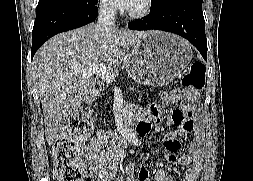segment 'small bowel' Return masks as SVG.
I'll return each instance as SVG.
<instances>
[{
    "mask_svg": "<svg viewBox=\"0 0 253 181\" xmlns=\"http://www.w3.org/2000/svg\"><path fill=\"white\" fill-rule=\"evenodd\" d=\"M197 95L188 91L174 89L161 94V101L164 104H178L179 109L173 111L168 118V124H176L182 127L180 134H168L163 140V157L171 163L177 162L181 166L188 167L185 171L184 181H198L203 163V145L202 139L197 134L190 146V152L175 156L174 153L179 149V138L194 131V123L190 117H185L183 111L191 110V106L196 103ZM139 119L137 134L140 137L145 136L152 125H158L162 120V112L159 105H153L150 108L134 109ZM117 142V136L108 130L97 131L90 142L81 148V152L90 165V172L96 176L99 181H111L117 173V151H103L106 144ZM190 165V166H189ZM155 181H173V178L164 168H159L154 174ZM150 170L144 165L138 173V181H150Z\"/></svg>",
    "mask_w": 253,
    "mask_h": 181,
    "instance_id": "1",
    "label": "small bowel"
}]
</instances>
